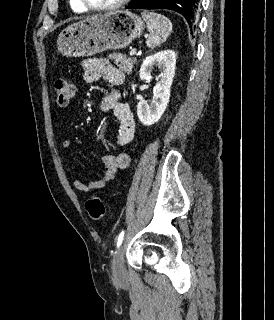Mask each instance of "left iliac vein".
<instances>
[{
	"label": "left iliac vein",
	"instance_id": "1",
	"mask_svg": "<svg viewBox=\"0 0 274 320\" xmlns=\"http://www.w3.org/2000/svg\"><path fill=\"white\" fill-rule=\"evenodd\" d=\"M113 273L117 281L121 282L126 277V270L124 266V246L121 245L116 251L113 258Z\"/></svg>",
	"mask_w": 274,
	"mask_h": 320
}]
</instances>
